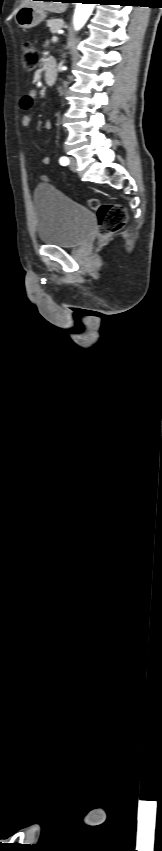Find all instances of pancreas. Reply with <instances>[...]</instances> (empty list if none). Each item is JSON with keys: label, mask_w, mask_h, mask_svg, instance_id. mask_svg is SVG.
Wrapping results in <instances>:
<instances>
[{"label": "pancreas", "mask_w": 162, "mask_h": 851, "mask_svg": "<svg viewBox=\"0 0 162 851\" xmlns=\"http://www.w3.org/2000/svg\"><path fill=\"white\" fill-rule=\"evenodd\" d=\"M47 25L48 27H50V31L53 34L57 33L60 29L64 27L63 21L58 19H52L47 21Z\"/></svg>", "instance_id": "pancreas-1"}]
</instances>
